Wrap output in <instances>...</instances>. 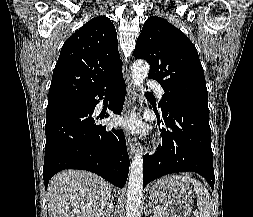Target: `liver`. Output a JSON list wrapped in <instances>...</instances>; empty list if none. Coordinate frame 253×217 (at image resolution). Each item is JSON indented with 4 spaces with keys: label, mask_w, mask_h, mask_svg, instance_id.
I'll list each match as a JSON object with an SVG mask.
<instances>
[{
    "label": "liver",
    "mask_w": 253,
    "mask_h": 217,
    "mask_svg": "<svg viewBox=\"0 0 253 217\" xmlns=\"http://www.w3.org/2000/svg\"><path fill=\"white\" fill-rule=\"evenodd\" d=\"M112 186L100 176L65 170L53 176L47 189L49 217H109Z\"/></svg>",
    "instance_id": "liver-1"
}]
</instances>
